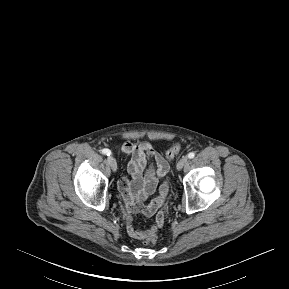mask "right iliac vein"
I'll return each instance as SVG.
<instances>
[{"label":"right iliac vein","instance_id":"obj_1","mask_svg":"<svg viewBox=\"0 0 289 289\" xmlns=\"http://www.w3.org/2000/svg\"><path fill=\"white\" fill-rule=\"evenodd\" d=\"M108 163L111 166V169L115 172L117 170V162L114 157H108Z\"/></svg>","mask_w":289,"mask_h":289}]
</instances>
